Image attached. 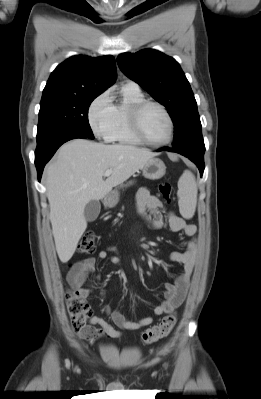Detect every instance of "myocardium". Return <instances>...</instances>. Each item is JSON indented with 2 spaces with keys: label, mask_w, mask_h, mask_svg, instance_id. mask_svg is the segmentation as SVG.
Wrapping results in <instances>:
<instances>
[{
  "label": "myocardium",
  "mask_w": 261,
  "mask_h": 399,
  "mask_svg": "<svg viewBox=\"0 0 261 399\" xmlns=\"http://www.w3.org/2000/svg\"><path fill=\"white\" fill-rule=\"evenodd\" d=\"M150 106L159 108L164 113L165 117L167 118V121L169 123V136L164 141H160V142L153 141V140L149 139L143 131V128L141 125V115H142L143 111L147 107H150ZM127 118H128V124H129L131 133L141 143H144L149 146L161 147V146L170 144L174 138V135H175L174 120H173L171 114L169 113V111L167 110V108L157 101L143 99L139 102L132 104L128 109Z\"/></svg>",
  "instance_id": "myocardium-1"
}]
</instances>
